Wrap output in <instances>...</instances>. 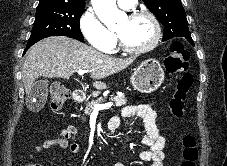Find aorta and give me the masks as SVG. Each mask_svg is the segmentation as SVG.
I'll return each instance as SVG.
<instances>
[{
    "label": "aorta",
    "mask_w": 227,
    "mask_h": 166,
    "mask_svg": "<svg viewBox=\"0 0 227 166\" xmlns=\"http://www.w3.org/2000/svg\"><path fill=\"white\" fill-rule=\"evenodd\" d=\"M91 2L100 21L108 27L127 18L126 13L117 8L116 0H91Z\"/></svg>",
    "instance_id": "aorta-1"
}]
</instances>
